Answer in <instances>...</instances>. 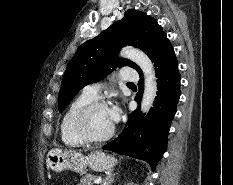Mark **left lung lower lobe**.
<instances>
[{
	"label": "left lung lower lobe",
	"instance_id": "0a47b994",
	"mask_svg": "<svg viewBox=\"0 0 233 185\" xmlns=\"http://www.w3.org/2000/svg\"><path fill=\"white\" fill-rule=\"evenodd\" d=\"M158 78V91L150 112L144 116L140 108L132 112L123 132L118 138L103 146L123 155L147 161L152 169L161 159L167 144L171 122L176 113L180 97V73L173 47L164 38L152 56ZM139 93L135 100L139 102L143 90V73L140 70Z\"/></svg>",
	"mask_w": 233,
	"mask_h": 185
}]
</instances>
